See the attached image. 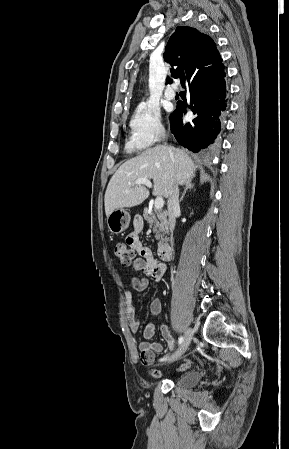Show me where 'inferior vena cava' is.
<instances>
[{
    "label": "inferior vena cava",
    "instance_id": "inferior-vena-cava-1",
    "mask_svg": "<svg viewBox=\"0 0 289 449\" xmlns=\"http://www.w3.org/2000/svg\"><path fill=\"white\" fill-rule=\"evenodd\" d=\"M167 208H168L170 231L171 233H173L176 224V215L180 210L179 188L176 182L173 183V186L171 188L170 195L167 201Z\"/></svg>",
    "mask_w": 289,
    "mask_h": 449
}]
</instances>
